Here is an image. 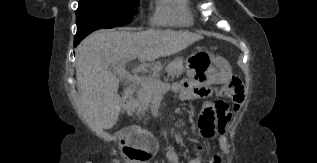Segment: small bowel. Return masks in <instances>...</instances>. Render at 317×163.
Instances as JSON below:
<instances>
[{
  "label": "small bowel",
  "instance_id": "obj_1",
  "mask_svg": "<svg viewBox=\"0 0 317 163\" xmlns=\"http://www.w3.org/2000/svg\"><path fill=\"white\" fill-rule=\"evenodd\" d=\"M212 86H213L212 83H207L202 85L197 92L198 95L200 97H208L211 94ZM174 91L179 95V97L182 100H185L192 93L193 89L189 85L183 84V85H176L174 87ZM242 104H243V100L240 103L235 105L234 107L235 113L239 112ZM231 118H232V113H230L228 109L225 110V112L222 114L220 118L218 130L221 136L220 142L222 144H225L227 142L226 131L231 122ZM201 135H202V142L192 147L193 157L188 161V163H222L223 160H222L221 153H217L210 158L206 157V149L208 147L209 141L215 135V132L204 133L201 131ZM165 155L169 163H180L179 156L174 145L170 143L166 144ZM86 163H91V162H86Z\"/></svg>",
  "mask_w": 317,
  "mask_h": 163
}]
</instances>
